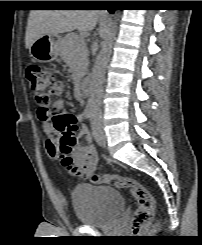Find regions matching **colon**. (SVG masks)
Wrapping results in <instances>:
<instances>
[{
    "instance_id": "5ec220e1",
    "label": "colon",
    "mask_w": 202,
    "mask_h": 245,
    "mask_svg": "<svg viewBox=\"0 0 202 245\" xmlns=\"http://www.w3.org/2000/svg\"><path fill=\"white\" fill-rule=\"evenodd\" d=\"M26 77L36 99L38 113L43 117V121L51 123L52 127L61 133L59 146L52 151V154L54 155L58 152L61 158V165L68 171L76 173L77 168L73 165L69 154L77 142L75 132L80 121L76 116L69 113L52 114L50 112L51 97L59 94L61 90L59 72L43 65L29 64L26 69ZM92 182H113L129 189L134 194L138 206L132 215L131 228L133 235H140L142 227L154 217L155 203L151 193L137 181L120 174H93Z\"/></svg>"
}]
</instances>
